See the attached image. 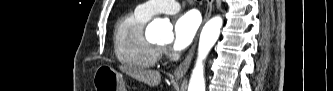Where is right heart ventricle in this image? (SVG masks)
Wrapping results in <instances>:
<instances>
[{
  "instance_id": "1",
  "label": "right heart ventricle",
  "mask_w": 333,
  "mask_h": 91,
  "mask_svg": "<svg viewBox=\"0 0 333 91\" xmlns=\"http://www.w3.org/2000/svg\"><path fill=\"white\" fill-rule=\"evenodd\" d=\"M149 17L137 10L122 17L114 31V51L120 63L131 69H148L159 58V48L144 36Z\"/></svg>"
}]
</instances>
